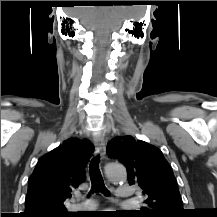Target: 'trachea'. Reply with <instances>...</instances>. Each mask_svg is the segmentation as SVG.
Masks as SVG:
<instances>
[{
	"instance_id": "3493384b",
	"label": "trachea",
	"mask_w": 217,
	"mask_h": 217,
	"mask_svg": "<svg viewBox=\"0 0 217 217\" xmlns=\"http://www.w3.org/2000/svg\"><path fill=\"white\" fill-rule=\"evenodd\" d=\"M99 160L100 156L97 155L94 157L90 163L89 170H90V180H91V191L90 194L95 192H101L104 195L108 196L109 191L105 187L100 169H99Z\"/></svg>"
}]
</instances>
